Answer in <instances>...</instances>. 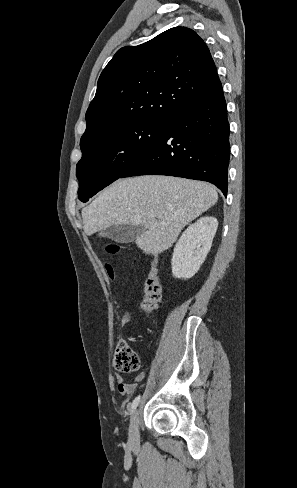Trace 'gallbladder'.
Masks as SVG:
<instances>
[{"mask_svg": "<svg viewBox=\"0 0 297 488\" xmlns=\"http://www.w3.org/2000/svg\"><path fill=\"white\" fill-rule=\"evenodd\" d=\"M143 230L144 227L142 224L113 225L103 229L100 232V235L102 237L109 238L116 243L125 244L135 240L138 236L142 234Z\"/></svg>", "mask_w": 297, "mask_h": 488, "instance_id": "bac80fb5", "label": "gallbladder"}]
</instances>
